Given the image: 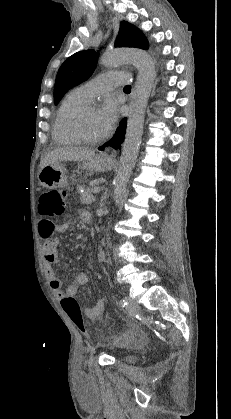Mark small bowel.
Masks as SVG:
<instances>
[{
    "mask_svg": "<svg viewBox=\"0 0 231 419\" xmlns=\"http://www.w3.org/2000/svg\"><path fill=\"white\" fill-rule=\"evenodd\" d=\"M80 218L84 223H90L92 217L90 213L86 211L80 212ZM71 223L69 221L55 225L51 220L45 219L39 222L38 232L44 239L43 245V257L47 266V273L50 280V286L55 296L59 299L64 297L76 296L79 288L85 286L88 283V275L86 272H78L73 281L66 287L65 290L62 288V281L57 275L53 265L57 262V249L59 246V239L55 236L56 233H65L70 228ZM105 310V304L103 300H98L92 307L84 308V315L92 320L98 321L102 318ZM140 339L137 336L132 338V343L139 342Z\"/></svg>",
    "mask_w": 231,
    "mask_h": 419,
    "instance_id": "obj_1",
    "label": "small bowel"
}]
</instances>
